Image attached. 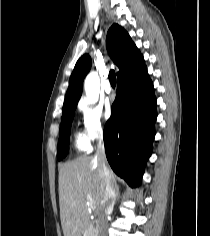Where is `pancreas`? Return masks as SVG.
I'll use <instances>...</instances> for the list:
<instances>
[{
	"instance_id": "pancreas-1",
	"label": "pancreas",
	"mask_w": 210,
	"mask_h": 236,
	"mask_svg": "<svg viewBox=\"0 0 210 236\" xmlns=\"http://www.w3.org/2000/svg\"><path fill=\"white\" fill-rule=\"evenodd\" d=\"M84 236H97V229L93 224H90L84 231Z\"/></svg>"
}]
</instances>
